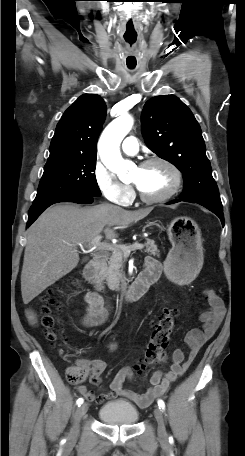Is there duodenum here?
<instances>
[{"label":"duodenum","mask_w":245,"mask_h":456,"mask_svg":"<svg viewBox=\"0 0 245 456\" xmlns=\"http://www.w3.org/2000/svg\"><path fill=\"white\" fill-rule=\"evenodd\" d=\"M107 259L106 254H98L90 260L84 268V278L92 285L96 293H103L104 285L100 271ZM160 269L156 265L146 266L135 281L121 293L124 301H136L148 291L149 287L157 280Z\"/></svg>","instance_id":"obj_1"}]
</instances>
